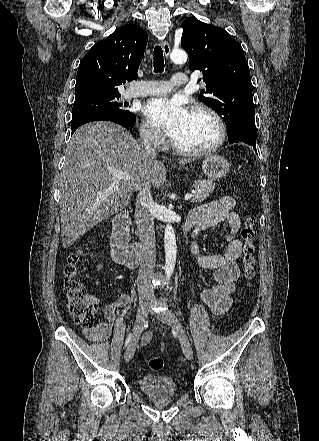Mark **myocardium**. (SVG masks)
Returning <instances> with one entry per match:
<instances>
[{
    "label": "myocardium",
    "instance_id": "1",
    "mask_svg": "<svg viewBox=\"0 0 319 441\" xmlns=\"http://www.w3.org/2000/svg\"><path fill=\"white\" fill-rule=\"evenodd\" d=\"M191 113L202 112L207 114L217 126V139L210 146L201 149H186L178 145L174 139L171 140L172 148L175 152L185 156H204L216 151L224 143L227 130L222 117L211 107L203 104H196L190 108Z\"/></svg>",
    "mask_w": 319,
    "mask_h": 441
}]
</instances>
